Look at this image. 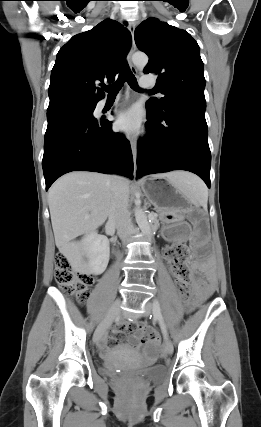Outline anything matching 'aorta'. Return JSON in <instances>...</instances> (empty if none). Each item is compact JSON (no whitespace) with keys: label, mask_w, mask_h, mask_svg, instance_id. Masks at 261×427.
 Instances as JSON below:
<instances>
[{"label":"aorta","mask_w":261,"mask_h":427,"mask_svg":"<svg viewBox=\"0 0 261 427\" xmlns=\"http://www.w3.org/2000/svg\"><path fill=\"white\" fill-rule=\"evenodd\" d=\"M132 61L137 68L143 69L148 63V56L144 53H136L133 55ZM135 219L142 233L150 237L152 235L151 223L140 207L135 210Z\"/></svg>","instance_id":"762f6f07"}]
</instances>
